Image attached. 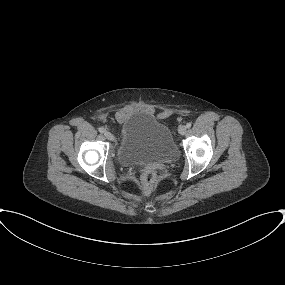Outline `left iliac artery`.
<instances>
[{
  "label": "left iliac artery",
  "instance_id": "obj_1",
  "mask_svg": "<svg viewBox=\"0 0 285 285\" xmlns=\"http://www.w3.org/2000/svg\"><path fill=\"white\" fill-rule=\"evenodd\" d=\"M186 127H187V128H190V127H191V123H187V124H186Z\"/></svg>",
  "mask_w": 285,
  "mask_h": 285
}]
</instances>
